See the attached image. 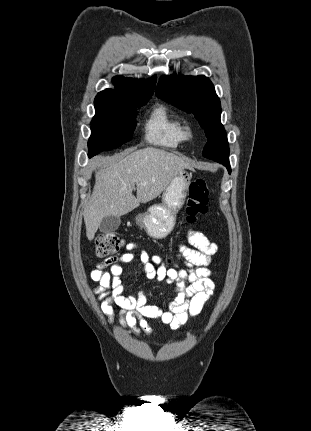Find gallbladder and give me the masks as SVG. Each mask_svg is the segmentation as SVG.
Instances as JSON below:
<instances>
[{"mask_svg": "<svg viewBox=\"0 0 311 431\" xmlns=\"http://www.w3.org/2000/svg\"><path fill=\"white\" fill-rule=\"evenodd\" d=\"M120 223H121L120 216L103 217L99 225V229L100 231H103V233H113L115 229H118Z\"/></svg>", "mask_w": 311, "mask_h": 431, "instance_id": "gallbladder-1", "label": "gallbladder"}]
</instances>
